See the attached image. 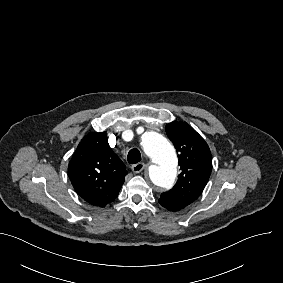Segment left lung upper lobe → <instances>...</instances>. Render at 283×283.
Instances as JSON below:
<instances>
[{
	"label": "left lung upper lobe",
	"mask_w": 283,
	"mask_h": 283,
	"mask_svg": "<svg viewBox=\"0 0 283 283\" xmlns=\"http://www.w3.org/2000/svg\"><path fill=\"white\" fill-rule=\"evenodd\" d=\"M165 129L179 153L181 173L175 186L161 194L159 203L178 211L201 195L211 174L212 157L205 140L186 122H171Z\"/></svg>",
	"instance_id": "5c2ea615"
}]
</instances>
